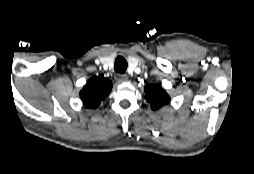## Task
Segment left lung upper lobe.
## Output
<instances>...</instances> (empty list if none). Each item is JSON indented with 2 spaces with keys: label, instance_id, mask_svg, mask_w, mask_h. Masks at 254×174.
Masks as SVG:
<instances>
[{
  "label": "left lung upper lobe",
  "instance_id": "5c2ea615",
  "mask_svg": "<svg viewBox=\"0 0 254 174\" xmlns=\"http://www.w3.org/2000/svg\"><path fill=\"white\" fill-rule=\"evenodd\" d=\"M144 89L146 91L145 99L150 103L152 110H157L169 103L170 97L160 85L150 84Z\"/></svg>",
  "mask_w": 254,
  "mask_h": 174
}]
</instances>
